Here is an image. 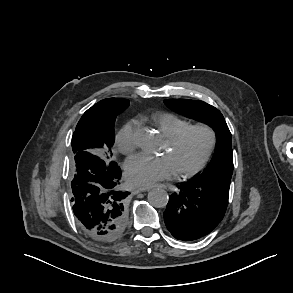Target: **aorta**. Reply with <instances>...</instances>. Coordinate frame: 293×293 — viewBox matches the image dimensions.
<instances>
[{
	"label": "aorta",
	"instance_id": "aorta-1",
	"mask_svg": "<svg viewBox=\"0 0 293 293\" xmlns=\"http://www.w3.org/2000/svg\"><path fill=\"white\" fill-rule=\"evenodd\" d=\"M136 140L137 145L145 152H151L157 146V138L150 131H141ZM168 200V193L163 189H153L148 194L149 203L157 208L165 207Z\"/></svg>",
	"mask_w": 293,
	"mask_h": 293
}]
</instances>
